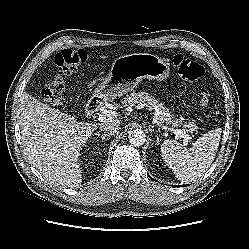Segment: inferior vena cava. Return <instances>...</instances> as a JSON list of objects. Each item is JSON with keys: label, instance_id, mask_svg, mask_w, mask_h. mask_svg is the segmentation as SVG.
<instances>
[{"label": "inferior vena cava", "instance_id": "602c4592", "mask_svg": "<svg viewBox=\"0 0 249 249\" xmlns=\"http://www.w3.org/2000/svg\"><path fill=\"white\" fill-rule=\"evenodd\" d=\"M100 128L103 131L109 132V134H114L118 133L120 130V123L118 122H107V123H102L100 125Z\"/></svg>", "mask_w": 249, "mask_h": 249}]
</instances>
